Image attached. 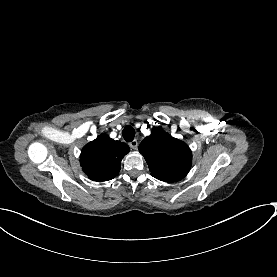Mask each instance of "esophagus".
<instances>
[{
	"label": "esophagus",
	"instance_id": "esophagus-1",
	"mask_svg": "<svg viewBox=\"0 0 277 277\" xmlns=\"http://www.w3.org/2000/svg\"><path fill=\"white\" fill-rule=\"evenodd\" d=\"M130 147L134 150L137 149L138 147V141L136 139H133L130 143H129Z\"/></svg>",
	"mask_w": 277,
	"mask_h": 277
}]
</instances>
